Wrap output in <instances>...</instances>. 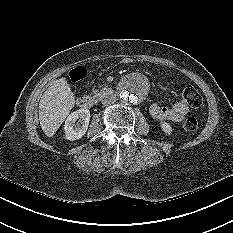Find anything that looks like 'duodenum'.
I'll use <instances>...</instances> for the list:
<instances>
[{"instance_id":"1","label":"duodenum","mask_w":233,"mask_h":233,"mask_svg":"<svg viewBox=\"0 0 233 233\" xmlns=\"http://www.w3.org/2000/svg\"><path fill=\"white\" fill-rule=\"evenodd\" d=\"M112 97V92L104 88L102 90L95 89L92 91L91 95H82L77 99V105L83 109H91L95 104L103 103L107 98Z\"/></svg>"}]
</instances>
